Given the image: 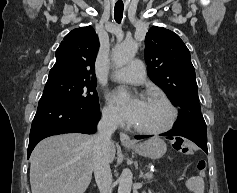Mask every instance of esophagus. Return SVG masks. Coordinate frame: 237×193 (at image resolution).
Instances as JSON below:
<instances>
[{"mask_svg": "<svg viewBox=\"0 0 237 193\" xmlns=\"http://www.w3.org/2000/svg\"><path fill=\"white\" fill-rule=\"evenodd\" d=\"M120 141L123 145H134V141L126 133H120Z\"/></svg>", "mask_w": 237, "mask_h": 193, "instance_id": "obj_1", "label": "esophagus"}]
</instances>
